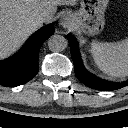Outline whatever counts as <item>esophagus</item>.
Masks as SVG:
<instances>
[{
	"instance_id": "esophagus-1",
	"label": "esophagus",
	"mask_w": 128,
	"mask_h": 128,
	"mask_svg": "<svg viewBox=\"0 0 128 128\" xmlns=\"http://www.w3.org/2000/svg\"><path fill=\"white\" fill-rule=\"evenodd\" d=\"M59 25L63 28H71L73 26V19L69 14H63L59 19Z\"/></svg>"
}]
</instances>
